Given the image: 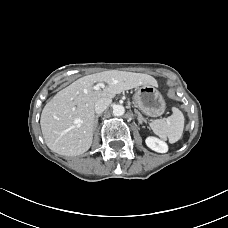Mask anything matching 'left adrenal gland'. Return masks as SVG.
Wrapping results in <instances>:
<instances>
[{
    "mask_svg": "<svg viewBox=\"0 0 228 228\" xmlns=\"http://www.w3.org/2000/svg\"><path fill=\"white\" fill-rule=\"evenodd\" d=\"M137 114H138L139 124H142L143 122L144 123H147L146 120H145V118L139 112H137Z\"/></svg>",
    "mask_w": 228,
    "mask_h": 228,
    "instance_id": "1",
    "label": "left adrenal gland"
}]
</instances>
